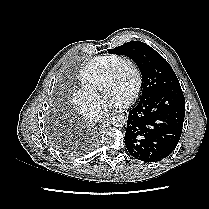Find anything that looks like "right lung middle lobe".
Listing matches in <instances>:
<instances>
[{"label": "right lung middle lobe", "instance_id": "obj_1", "mask_svg": "<svg viewBox=\"0 0 209 209\" xmlns=\"http://www.w3.org/2000/svg\"><path fill=\"white\" fill-rule=\"evenodd\" d=\"M55 145L63 152L68 154L82 153L85 148L70 144L64 136H56L54 138Z\"/></svg>", "mask_w": 209, "mask_h": 209}]
</instances>
